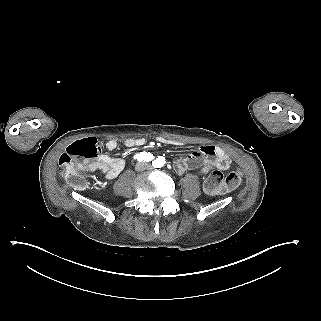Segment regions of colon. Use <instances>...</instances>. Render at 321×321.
Instances as JSON below:
<instances>
[{
    "instance_id": "1",
    "label": "colon",
    "mask_w": 321,
    "mask_h": 321,
    "mask_svg": "<svg viewBox=\"0 0 321 321\" xmlns=\"http://www.w3.org/2000/svg\"><path fill=\"white\" fill-rule=\"evenodd\" d=\"M101 151L95 139H86L71 144L59 159L60 177L72 188L83 189L86 177L77 165L78 159H94ZM242 182L240 169L224 175L221 171L212 172L204 182L205 190L210 194H223L237 189Z\"/></svg>"
}]
</instances>
